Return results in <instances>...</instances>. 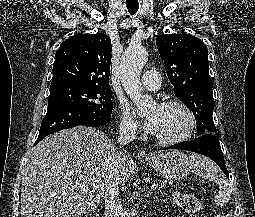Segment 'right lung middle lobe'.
<instances>
[{
	"instance_id": "right-lung-middle-lobe-1",
	"label": "right lung middle lobe",
	"mask_w": 255,
	"mask_h": 217,
	"mask_svg": "<svg viewBox=\"0 0 255 217\" xmlns=\"http://www.w3.org/2000/svg\"><path fill=\"white\" fill-rule=\"evenodd\" d=\"M111 88L87 86L82 84H62L50 87L48 106L66 103L95 112L111 115L113 103Z\"/></svg>"
}]
</instances>
